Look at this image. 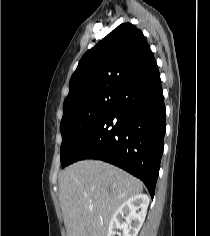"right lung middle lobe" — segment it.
Segmentation results:
<instances>
[{
	"label": "right lung middle lobe",
	"instance_id": "right-lung-middle-lobe-1",
	"mask_svg": "<svg viewBox=\"0 0 210 236\" xmlns=\"http://www.w3.org/2000/svg\"><path fill=\"white\" fill-rule=\"evenodd\" d=\"M118 93L109 92L90 97L63 112L60 124L62 144L60 159L66 166L94 127L113 108Z\"/></svg>",
	"mask_w": 210,
	"mask_h": 236
}]
</instances>
